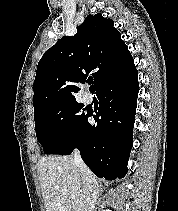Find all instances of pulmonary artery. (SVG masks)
<instances>
[{"mask_svg":"<svg viewBox=\"0 0 178 211\" xmlns=\"http://www.w3.org/2000/svg\"><path fill=\"white\" fill-rule=\"evenodd\" d=\"M84 98L86 102H91L93 99L92 93L90 91H86L84 94Z\"/></svg>","mask_w":178,"mask_h":211,"instance_id":"e3ab8cb5","label":"pulmonary artery"}]
</instances>
